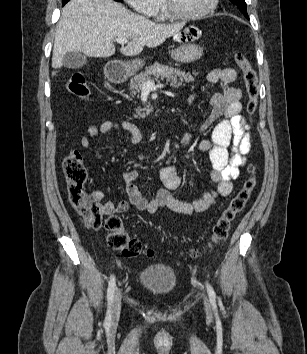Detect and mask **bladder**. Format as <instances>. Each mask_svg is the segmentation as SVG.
Segmentation results:
<instances>
[{"mask_svg": "<svg viewBox=\"0 0 307 354\" xmlns=\"http://www.w3.org/2000/svg\"><path fill=\"white\" fill-rule=\"evenodd\" d=\"M140 283L156 294H167L177 286V275L174 269L163 263L152 264L144 268L139 275Z\"/></svg>", "mask_w": 307, "mask_h": 354, "instance_id": "1", "label": "bladder"}]
</instances>
